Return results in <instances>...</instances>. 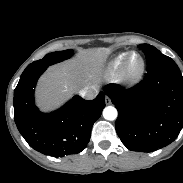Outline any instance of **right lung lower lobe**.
<instances>
[{
  "mask_svg": "<svg viewBox=\"0 0 183 183\" xmlns=\"http://www.w3.org/2000/svg\"><path fill=\"white\" fill-rule=\"evenodd\" d=\"M47 67L26 68L14 91V120L26 142L36 151L64 157L83 151L90 141L94 122L105 107V92L91 101L74 96L52 113L35 106L34 88Z\"/></svg>",
  "mask_w": 183,
  "mask_h": 183,
  "instance_id": "1",
  "label": "right lung lower lobe"
}]
</instances>
